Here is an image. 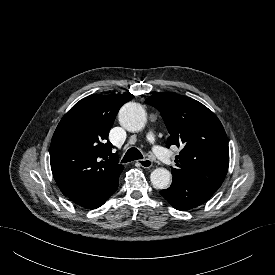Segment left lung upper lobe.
Returning a JSON list of instances; mask_svg holds the SVG:
<instances>
[{"label": "left lung upper lobe", "instance_id": "5c2ea615", "mask_svg": "<svg viewBox=\"0 0 275 275\" xmlns=\"http://www.w3.org/2000/svg\"><path fill=\"white\" fill-rule=\"evenodd\" d=\"M161 114L170 133L167 147H181L173 178L221 186L229 166L228 139L217 116L200 102L171 92L145 100Z\"/></svg>", "mask_w": 275, "mask_h": 275}]
</instances>
